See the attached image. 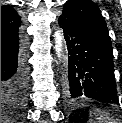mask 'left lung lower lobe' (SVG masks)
Listing matches in <instances>:
<instances>
[{"instance_id":"obj_1","label":"left lung lower lobe","mask_w":122,"mask_h":123,"mask_svg":"<svg viewBox=\"0 0 122 123\" xmlns=\"http://www.w3.org/2000/svg\"><path fill=\"white\" fill-rule=\"evenodd\" d=\"M59 24L68 49L64 80L67 99H87L105 105L117 103L111 43L63 15Z\"/></svg>"}]
</instances>
